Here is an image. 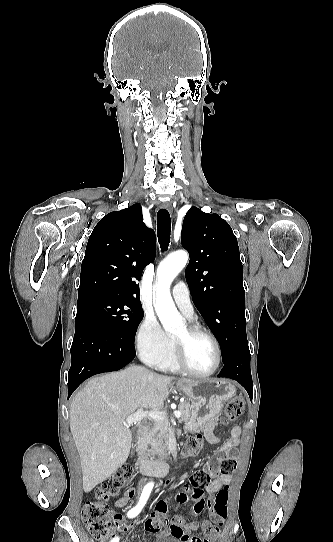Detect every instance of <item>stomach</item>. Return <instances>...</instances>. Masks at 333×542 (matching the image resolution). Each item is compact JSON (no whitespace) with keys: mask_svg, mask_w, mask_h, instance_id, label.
<instances>
[{"mask_svg":"<svg viewBox=\"0 0 333 542\" xmlns=\"http://www.w3.org/2000/svg\"><path fill=\"white\" fill-rule=\"evenodd\" d=\"M176 388L193 402L190 422L185 426L191 432L219 418L225 402L236 396V388L229 380H196L194 384L178 382Z\"/></svg>","mask_w":333,"mask_h":542,"instance_id":"0dacf381","label":"stomach"}]
</instances>
